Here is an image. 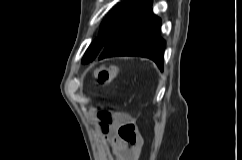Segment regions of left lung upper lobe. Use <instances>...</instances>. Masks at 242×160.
<instances>
[{
	"mask_svg": "<svg viewBox=\"0 0 242 160\" xmlns=\"http://www.w3.org/2000/svg\"><path fill=\"white\" fill-rule=\"evenodd\" d=\"M152 4V0H126L120 4L102 22L100 36L88 48L82 59V63L85 64L94 60L112 38L125 27L131 25Z\"/></svg>",
	"mask_w": 242,
	"mask_h": 160,
	"instance_id": "5c2ea615",
	"label": "left lung upper lobe"
}]
</instances>
